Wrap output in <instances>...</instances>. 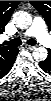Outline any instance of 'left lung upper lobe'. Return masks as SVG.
<instances>
[{"label":"left lung upper lobe","instance_id":"left-lung-upper-lobe-1","mask_svg":"<svg viewBox=\"0 0 51 101\" xmlns=\"http://www.w3.org/2000/svg\"><path fill=\"white\" fill-rule=\"evenodd\" d=\"M31 4L40 12V14L45 18L48 25H50L51 20V10L50 5L43 1H31Z\"/></svg>","mask_w":51,"mask_h":101}]
</instances>
